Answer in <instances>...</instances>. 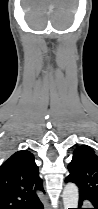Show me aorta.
Returning a JSON list of instances; mask_svg holds the SVG:
<instances>
[{
    "label": "aorta",
    "mask_w": 98,
    "mask_h": 209,
    "mask_svg": "<svg viewBox=\"0 0 98 209\" xmlns=\"http://www.w3.org/2000/svg\"><path fill=\"white\" fill-rule=\"evenodd\" d=\"M62 197H63L64 209L78 207L79 193H78V188L75 184L73 183L66 184L63 190Z\"/></svg>",
    "instance_id": "762f6f07"
}]
</instances>
